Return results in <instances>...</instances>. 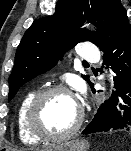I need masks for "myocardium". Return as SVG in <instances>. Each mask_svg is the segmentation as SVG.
<instances>
[{
  "instance_id": "f54148a6",
  "label": "myocardium",
  "mask_w": 131,
  "mask_h": 151,
  "mask_svg": "<svg viewBox=\"0 0 131 151\" xmlns=\"http://www.w3.org/2000/svg\"><path fill=\"white\" fill-rule=\"evenodd\" d=\"M56 93L66 94L76 101L78 106V116L74 124L68 130L59 134H51L45 132L40 127L39 113H40L41 105L45 101V99ZM83 120H84L83 107L78 102L73 92L64 85H52L38 91L33 97V99L31 100L26 113V125L29 132L36 138L40 140H47V141H62L73 136L80 129Z\"/></svg>"
}]
</instances>
